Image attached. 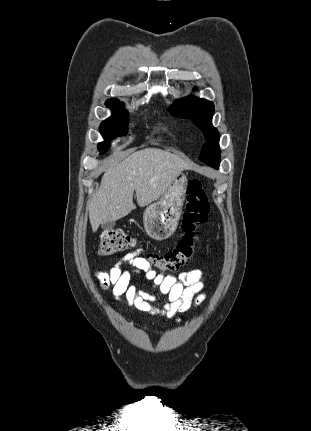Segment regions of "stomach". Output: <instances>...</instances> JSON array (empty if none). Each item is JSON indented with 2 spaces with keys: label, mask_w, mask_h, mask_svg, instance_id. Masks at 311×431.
<instances>
[{
  "label": "stomach",
  "mask_w": 311,
  "mask_h": 431,
  "mask_svg": "<svg viewBox=\"0 0 311 431\" xmlns=\"http://www.w3.org/2000/svg\"><path fill=\"white\" fill-rule=\"evenodd\" d=\"M187 184L186 174H179L160 200L146 208L143 223L149 237L161 241L176 231L182 216Z\"/></svg>",
  "instance_id": "obj_1"
}]
</instances>
